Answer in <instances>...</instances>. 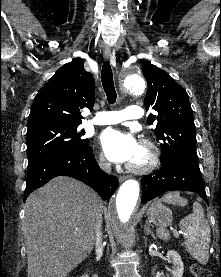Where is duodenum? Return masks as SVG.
Wrapping results in <instances>:
<instances>
[{"mask_svg": "<svg viewBox=\"0 0 221 277\" xmlns=\"http://www.w3.org/2000/svg\"><path fill=\"white\" fill-rule=\"evenodd\" d=\"M82 277H89V271L86 272Z\"/></svg>", "mask_w": 221, "mask_h": 277, "instance_id": "duodenum-1", "label": "duodenum"}]
</instances>
